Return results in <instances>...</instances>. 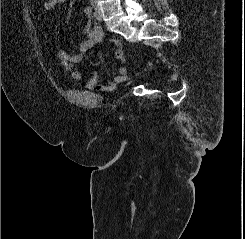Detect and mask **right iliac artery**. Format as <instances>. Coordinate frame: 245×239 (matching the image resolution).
<instances>
[{"mask_svg": "<svg viewBox=\"0 0 245 239\" xmlns=\"http://www.w3.org/2000/svg\"><path fill=\"white\" fill-rule=\"evenodd\" d=\"M94 17H95L99 22H101V18L97 15L96 12H94Z\"/></svg>", "mask_w": 245, "mask_h": 239, "instance_id": "1", "label": "right iliac artery"}]
</instances>
